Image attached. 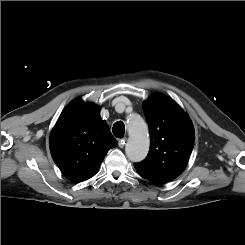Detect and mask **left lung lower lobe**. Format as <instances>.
<instances>
[{"instance_id":"0a47b994","label":"left lung lower lobe","mask_w":245,"mask_h":245,"mask_svg":"<svg viewBox=\"0 0 245 245\" xmlns=\"http://www.w3.org/2000/svg\"><path fill=\"white\" fill-rule=\"evenodd\" d=\"M139 175L142 176L143 178H145V179H147V180H149L151 182L157 183V184H164V183H166L165 181L159 180L157 178L148 177V176H146V175H144L142 173H139Z\"/></svg>"}]
</instances>
